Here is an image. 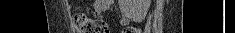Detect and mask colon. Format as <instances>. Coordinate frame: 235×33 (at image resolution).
<instances>
[{
    "mask_svg": "<svg viewBox=\"0 0 235 33\" xmlns=\"http://www.w3.org/2000/svg\"><path fill=\"white\" fill-rule=\"evenodd\" d=\"M75 28L78 33H109L107 24L95 18L84 14H76L74 17ZM138 29L133 26H127L125 33H137Z\"/></svg>",
    "mask_w": 235,
    "mask_h": 33,
    "instance_id": "5ec220e1",
    "label": "colon"
}]
</instances>
